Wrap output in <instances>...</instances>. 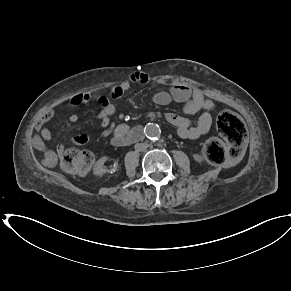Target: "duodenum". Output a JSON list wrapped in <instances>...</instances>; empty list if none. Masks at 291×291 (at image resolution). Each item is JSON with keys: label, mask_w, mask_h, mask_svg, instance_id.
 <instances>
[{"label": "duodenum", "mask_w": 291, "mask_h": 291, "mask_svg": "<svg viewBox=\"0 0 291 291\" xmlns=\"http://www.w3.org/2000/svg\"><path fill=\"white\" fill-rule=\"evenodd\" d=\"M143 128L136 127L131 130L126 136L114 137L112 139V144L116 147L127 146L131 143L138 142L143 138Z\"/></svg>", "instance_id": "duodenum-1"}]
</instances>
